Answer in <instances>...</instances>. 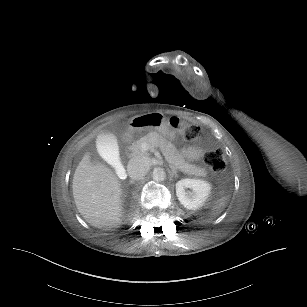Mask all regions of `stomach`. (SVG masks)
Here are the masks:
<instances>
[{"instance_id":"1","label":"stomach","mask_w":307,"mask_h":307,"mask_svg":"<svg viewBox=\"0 0 307 307\" xmlns=\"http://www.w3.org/2000/svg\"><path fill=\"white\" fill-rule=\"evenodd\" d=\"M134 130H155L171 141L176 139V131L170 122L160 113H149L133 118L130 122Z\"/></svg>"}]
</instances>
